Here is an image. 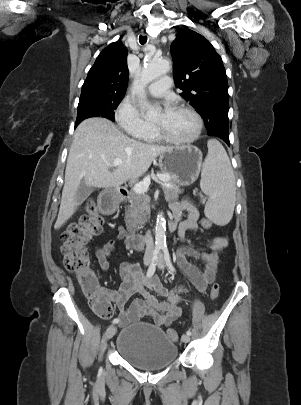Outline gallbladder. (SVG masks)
Instances as JSON below:
<instances>
[{"mask_svg": "<svg viewBox=\"0 0 301 405\" xmlns=\"http://www.w3.org/2000/svg\"><path fill=\"white\" fill-rule=\"evenodd\" d=\"M92 191L93 187L80 183L76 193V201L78 204H82L89 197Z\"/></svg>", "mask_w": 301, "mask_h": 405, "instance_id": "1", "label": "gallbladder"}]
</instances>
